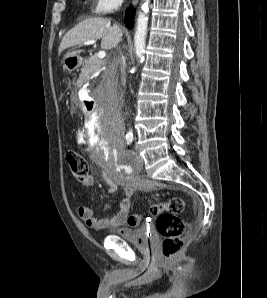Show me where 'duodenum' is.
<instances>
[{
    "label": "duodenum",
    "mask_w": 267,
    "mask_h": 298,
    "mask_svg": "<svg viewBox=\"0 0 267 298\" xmlns=\"http://www.w3.org/2000/svg\"><path fill=\"white\" fill-rule=\"evenodd\" d=\"M75 67V66H72ZM96 93H89L88 98H80V103H83L86 115H95V107L97 101Z\"/></svg>",
    "instance_id": "obj_1"
}]
</instances>
